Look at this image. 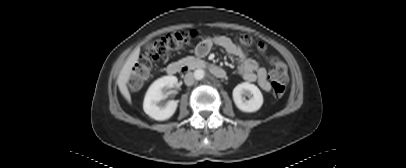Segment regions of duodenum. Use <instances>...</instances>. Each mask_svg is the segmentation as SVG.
<instances>
[{"instance_id": "obj_1", "label": "duodenum", "mask_w": 406, "mask_h": 168, "mask_svg": "<svg viewBox=\"0 0 406 168\" xmlns=\"http://www.w3.org/2000/svg\"><path fill=\"white\" fill-rule=\"evenodd\" d=\"M195 66L198 68L209 69L212 72V74L219 79H223L226 77V72L224 69L209 62H197ZM188 70L189 67L187 65H183L177 62L170 63L166 68V72L169 75H176L179 72H187Z\"/></svg>"}]
</instances>
